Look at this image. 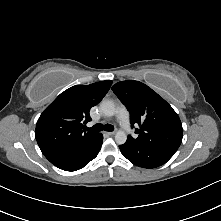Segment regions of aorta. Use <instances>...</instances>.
Listing matches in <instances>:
<instances>
[{
    "label": "aorta",
    "instance_id": "obj_1",
    "mask_svg": "<svg viewBox=\"0 0 221 221\" xmlns=\"http://www.w3.org/2000/svg\"><path fill=\"white\" fill-rule=\"evenodd\" d=\"M100 111L103 115L111 117L115 114L116 107L112 101L104 100L100 104ZM127 140V135L123 130H118L115 134V141L117 144H124Z\"/></svg>",
    "mask_w": 221,
    "mask_h": 221
}]
</instances>
